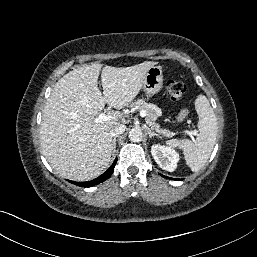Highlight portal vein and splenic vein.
Masks as SVG:
<instances>
[{
    "mask_svg": "<svg viewBox=\"0 0 257 257\" xmlns=\"http://www.w3.org/2000/svg\"><path fill=\"white\" fill-rule=\"evenodd\" d=\"M140 116L141 117H145L146 116V112L144 110L140 111ZM111 119L110 115H107L105 113H101L99 114V116L95 119L96 122H102V121H107ZM189 135H192L191 132H189Z\"/></svg>",
    "mask_w": 257,
    "mask_h": 257,
    "instance_id": "portal-vein-and-splenic-vein-1",
    "label": "portal vein and splenic vein"
}]
</instances>
